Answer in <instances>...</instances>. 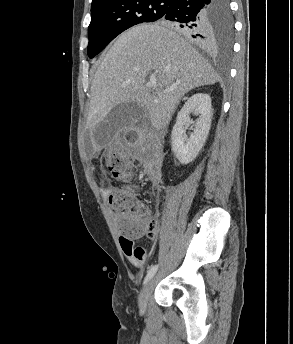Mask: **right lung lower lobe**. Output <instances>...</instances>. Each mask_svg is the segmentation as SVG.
Segmentation results:
<instances>
[{
  "instance_id": "right-lung-lower-lobe-1",
  "label": "right lung lower lobe",
  "mask_w": 293,
  "mask_h": 344,
  "mask_svg": "<svg viewBox=\"0 0 293 344\" xmlns=\"http://www.w3.org/2000/svg\"><path fill=\"white\" fill-rule=\"evenodd\" d=\"M216 0H169L162 20L172 21L189 39L209 50L215 43L213 16Z\"/></svg>"
}]
</instances>
